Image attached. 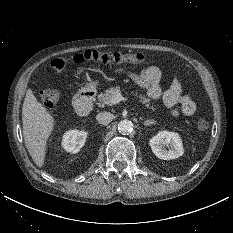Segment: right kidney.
<instances>
[{
    "label": "right kidney",
    "mask_w": 233,
    "mask_h": 233,
    "mask_svg": "<svg viewBox=\"0 0 233 233\" xmlns=\"http://www.w3.org/2000/svg\"><path fill=\"white\" fill-rule=\"evenodd\" d=\"M87 132L84 130H69L63 135L62 147L69 153H77L84 146Z\"/></svg>",
    "instance_id": "1"
}]
</instances>
